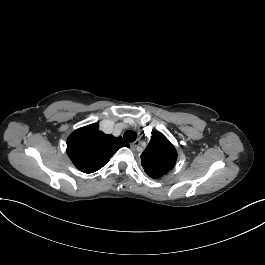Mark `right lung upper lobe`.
Returning <instances> with one entry per match:
<instances>
[{
    "label": "right lung upper lobe",
    "mask_w": 265,
    "mask_h": 265,
    "mask_svg": "<svg viewBox=\"0 0 265 265\" xmlns=\"http://www.w3.org/2000/svg\"><path fill=\"white\" fill-rule=\"evenodd\" d=\"M127 146L123 138L107 135L93 123L75 130L67 140V153L73 164L84 173H93L104 165L121 147Z\"/></svg>",
    "instance_id": "right-lung-upper-lobe-1"
}]
</instances>
